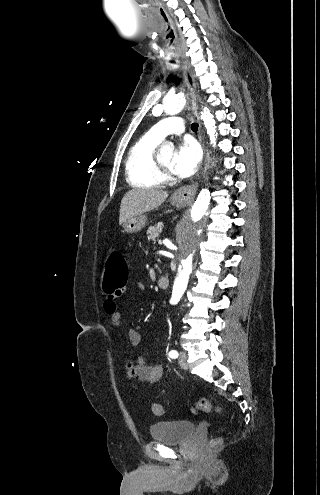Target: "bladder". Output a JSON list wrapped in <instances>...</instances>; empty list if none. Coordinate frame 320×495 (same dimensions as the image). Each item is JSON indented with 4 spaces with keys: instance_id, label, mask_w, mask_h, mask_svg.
I'll return each instance as SVG.
<instances>
[{
    "instance_id": "1",
    "label": "bladder",
    "mask_w": 320,
    "mask_h": 495,
    "mask_svg": "<svg viewBox=\"0 0 320 495\" xmlns=\"http://www.w3.org/2000/svg\"><path fill=\"white\" fill-rule=\"evenodd\" d=\"M196 431V424L189 420L161 421L149 427V434L155 441L166 444H180L187 441Z\"/></svg>"
}]
</instances>
